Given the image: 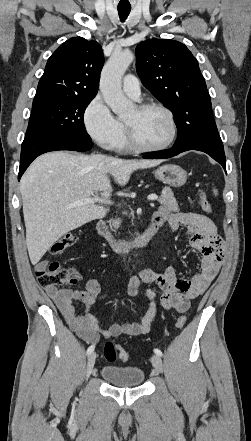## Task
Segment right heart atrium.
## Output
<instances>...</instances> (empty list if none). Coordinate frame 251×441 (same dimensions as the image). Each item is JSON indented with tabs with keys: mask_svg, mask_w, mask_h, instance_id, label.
<instances>
[{
	"mask_svg": "<svg viewBox=\"0 0 251 441\" xmlns=\"http://www.w3.org/2000/svg\"><path fill=\"white\" fill-rule=\"evenodd\" d=\"M83 120L88 135L106 148H114L124 132L122 123L113 115L100 95H96L88 103Z\"/></svg>",
	"mask_w": 251,
	"mask_h": 441,
	"instance_id": "obj_1",
	"label": "right heart atrium"
}]
</instances>
